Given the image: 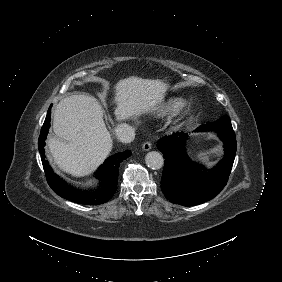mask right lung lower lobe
<instances>
[{
	"label": "right lung lower lobe",
	"mask_w": 282,
	"mask_h": 282,
	"mask_svg": "<svg viewBox=\"0 0 282 282\" xmlns=\"http://www.w3.org/2000/svg\"><path fill=\"white\" fill-rule=\"evenodd\" d=\"M51 107L52 105L48 110L38 140V148L41 153V160L49 186L59 196L78 204L99 205L107 202L112 198L117 190L120 163L131 155V151L126 150L122 153H117L107 158L104 164L100 166L97 171V177L102 180L101 189H98L95 192H87L77 191L71 188L60 177L53 173L48 161L45 160L44 145L46 135L50 127Z\"/></svg>",
	"instance_id": "obj_1"
}]
</instances>
